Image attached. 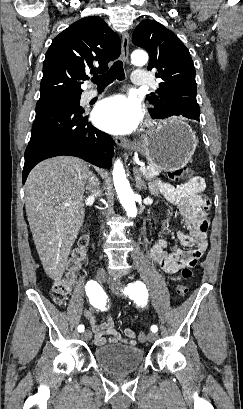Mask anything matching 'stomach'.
Instances as JSON below:
<instances>
[{
	"mask_svg": "<svg viewBox=\"0 0 243 409\" xmlns=\"http://www.w3.org/2000/svg\"><path fill=\"white\" fill-rule=\"evenodd\" d=\"M196 146L191 127L178 118H170L143 134L134 150L142 153L153 167L175 171L191 160Z\"/></svg>",
	"mask_w": 243,
	"mask_h": 409,
	"instance_id": "obj_1",
	"label": "stomach"
}]
</instances>
